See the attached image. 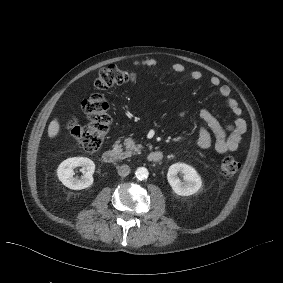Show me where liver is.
<instances>
[{
	"label": "liver",
	"instance_id": "obj_1",
	"mask_svg": "<svg viewBox=\"0 0 283 283\" xmlns=\"http://www.w3.org/2000/svg\"><path fill=\"white\" fill-rule=\"evenodd\" d=\"M61 133H62V127L60 124V120L56 116L49 123L48 129H47V137L49 140H54L59 135H61Z\"/></svg>",
	"mask_w": 283,
	"mask_h": 283
}]
</instances>
